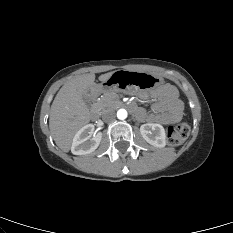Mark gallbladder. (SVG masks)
<instances>
[{"label":"gallbladder","instance_id":"bac80fb5","mask_svg":"<svg viewBox=\"0 0 233 233\" xmlns=\"http://www.w3.org/2000/svg\"><path fill=\"white\" fill-rule=\"evenodd\" d=\"M86 105L90 106V103L85 99Z\"/></svg>","mask_w":233,"mask_h":233}]
</instances>
